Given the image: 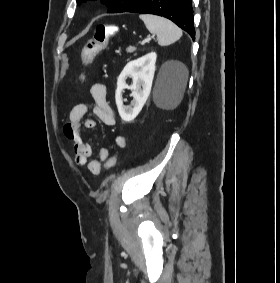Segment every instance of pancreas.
<instances>
[{"label": "pancreas", "mask_w": 280, "mask_h": 283, "mask_svg": "<svg viewBox=\"0 0 280 283\" xmlns=\"http://www.w3.org/2000/svg\"><path fill=\"white\" fill-rule=\"evenodd\" d=\"M136 51V47H132V46H129L127 49H126V52L127 53H133Z\"/></svg>", "instance_id": "1"}]
</instances>
